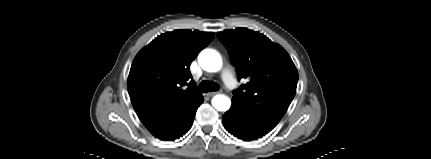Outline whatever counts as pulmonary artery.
Instances as JSON below:
<instances>
[{
	"mask_svg": "<svg viewBox=\"0 0 431 159\" xmlns=\"http://www.w3.org/2000/svg\"><path fill=\"white\" fill-rule=\"evenodd\" d=\"M221 78L225 85L229 89H236L238 87V82L236 80V77L234 75L233 70L230 67H225L221 72Z\"/></svg>",
	"mask_w": 431,
	"mask_h": 159,
	"instance_id": "e3ab8cb5",
	"label": "pulmonary artery"
}]
</instances>
